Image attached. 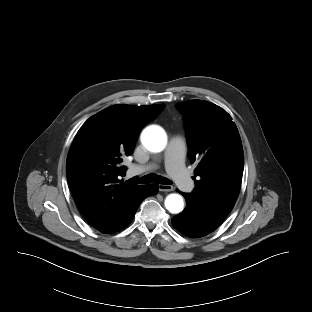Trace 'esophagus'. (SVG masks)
Instances as JSON below:
<instances>
[{
  "mask_svg": "<svg viewBox=\"0 0 312 312\" xmlns=\"http://www.w3.org/2000/svg\"><path fill=\"white\" fill-rule=\"evenodd\" d=\"M159 191L161 192H170L173 191V186L171 185H164V184H159L158 185Z\"/></svg>",
  "mask_w": 312,
  "mask_h": 312,
  "instance_id": "obj_1",
  "label": "esophagus"
}]
</instances>
